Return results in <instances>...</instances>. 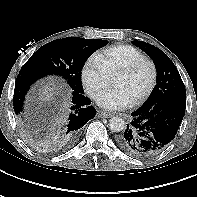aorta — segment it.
I'll return each instance as SVG.
<instances>
[{"mask_svg":"<svg viewBox=\"0 0 197 197\" xmlns=\"http://www.w3.org/2000/svg\"><path fill=\"white\" fill-rule=\"evenodd\" d=\"M109 126L113 132H121L125 128V121L120 117H113L110 119Z\"/></svg>","mask_w":197,"mask_h":197,"instance_id":"aorta-1","label":"aorta"}]
</instances>
